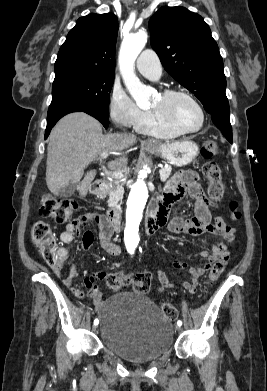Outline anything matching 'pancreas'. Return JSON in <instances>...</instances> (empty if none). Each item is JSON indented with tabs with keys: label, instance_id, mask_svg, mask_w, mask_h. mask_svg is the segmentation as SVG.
<instances>
[{
	"label": "pancreas",
	"instance_id": "cf45deb5",
	"mask_svg": "<svg viewBox=\"0 0 267 391\" xmlns=\"http://www.w3.org/2000/svg\"><path fill=\"white\" fill-rule=\"evenodd\" d=\"M171 171H172L171 166L163 167L160 170L161 180L166 181L170 177ZM123 185L124 183L121 181V179H116L115 181L108 183V189L106 190V194L109 195V200H108L109 208L118 207L124 194Z\"/></svg>",
	"mask_w": 267,
	"mask_h": 391
}]
</instances>
